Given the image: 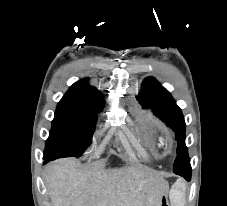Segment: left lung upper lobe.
I'll list each match as a JSON object with an SVG mask.
<instances>
[{"label": "left lung upper lobe", "mask_w": 227, "mask_h": 206, "mask_svg": "<svg viewBox=\"0 0 227 206\" xmlns=\"http://www.w3.org/2000/svg\"><path fill=\"white\" fill-rule=\"evenodd\" d=\"M142 88L144 91L137 96L142 106L150 108L157 117L175 132L178 146L173 171L191 170L190 159L185 146L186 125L181 109L176 105L169 92L153 77L146 78Z\"/></svg>", "instance_id": "obj_1"}]
</instances>
